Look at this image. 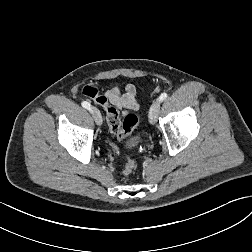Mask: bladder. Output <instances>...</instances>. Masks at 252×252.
<instances>
[{
	"mask_svg": "<svg viewBox=\"0 0 252 252\" xmlns=\"http://www.w3.org/2000/svg\"><path fill=\"white\" fill-rule=\"evenodd\" d=\"M139 140L138 139H133L130 141L129 146H136L138 144Z\"/></svg>",
	"mask_w": 252,
	"mask_h": 252,
	"instance_id": "1",
	"label": "bladder"
}]
</instances>
